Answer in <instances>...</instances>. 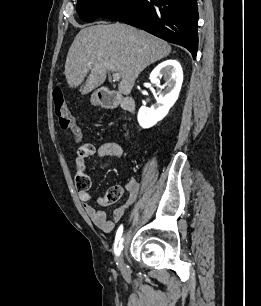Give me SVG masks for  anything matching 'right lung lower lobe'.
Here are the masks:
<instances>
[{
	"label": "right lung lower lobe",
	"mask_w": 261,
	"mask_h": 306,
	"mask_svg": "<svg viewBox=\"0 0 261 306\" xmlns=\"http://www.w3.org/2000/svg\"><path fill=\"white\" fill-rule=\"evenodd\" d=\"M188 49L193 58L198 48L197 0H122L103 13Z\"/></svg>",
	"instance_id": "obj_1"
}]
</instances>
